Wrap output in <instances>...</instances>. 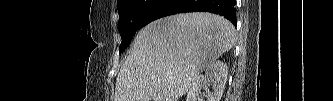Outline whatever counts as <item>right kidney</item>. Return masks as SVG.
I'll list each match as a JSON object with an SVG mask.
<instances>
[{
	"label": "right kidney",
	"instance_id": "right-kidney-1",
	"mask_svg": "<svg viewBox=\"0 0 333 101\" xmlns=\"http://www.w3.org/2000/svg\"><path fill=\"white\" fill-rule=\"evenodd\" d=\"M227 73V65L222 61L217 60L209 64L205 75H199L192 82L186 101H198L201 90L210 85H212L213 91L206 92L207 101H220L226 85Z\"/></svg>",
	"mask_w": 333,
	"mask_h": 101
}]
</instances>
